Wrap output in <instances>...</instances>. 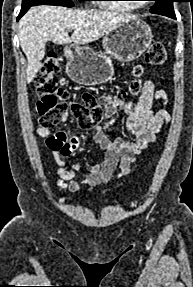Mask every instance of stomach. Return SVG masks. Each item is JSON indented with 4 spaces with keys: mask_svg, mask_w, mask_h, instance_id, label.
I'll return each mask as SVG.
<instances>
[{
    "mask_svg": "<svg viewBox=\"0 0 193 287\" xmlns=\"http://www.w3.org/2000/svg\"><path fill=\"white\" fill-rule=\"evenodd\" d=\"M153 34L150 26L139 19H128L103 37L104 54L88 47L67 46L66 72L70 79L85 86L109 81L114 73L111 58L131 62L139 58L150 46Z\"/></svg>",
    "mask_w": 193,
    "mask_h": 287,
    "instance_id": "0dacf381",
    "label": "stomach"
}]
</instances>
